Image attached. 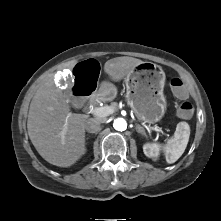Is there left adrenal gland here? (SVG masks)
<instances>
[{"instance_id":"left-adrenal-gland-1","label":"left adrenal gland","mask_w":221,"mask_h":221,"mask_svg":"<svg viewBox=\"0 0 221 221\" xmlns=\"http://www.w3.org/2000/svg\"><path fill=\"white\" fill-rule=\"evenodd\" d=\"M136 131L138 133L142 134L143 136L147 137V134H146V132H145V130H144V128L142 126L136 125Z\"/></svg>"}]
</instances>
